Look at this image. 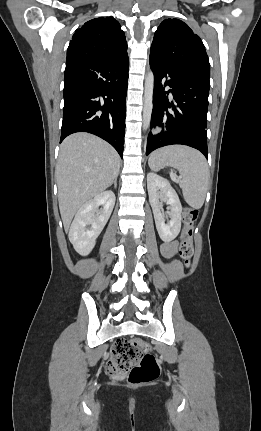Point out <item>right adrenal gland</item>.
<instances>
[{
    "label": "right adrenal gland",
    "mask_w": 261,
    "mask_h": 431,
    "mask_svg": "<svg viewBox=\"0 0 261 431\" xmlns=\"http://www.w3.org/2000/svg\"><path fill=\"white\" fill-rule=\"evenodd\" d=\"M117 178H118V175L115 177V179H114V181H113V184H114V188L116 189L117 188ZM112 185V184H111ZM110 185V186H111Z\"/></svg>",
    "instance_id": "right-adrenal-gland-1"
}]
</instances>
